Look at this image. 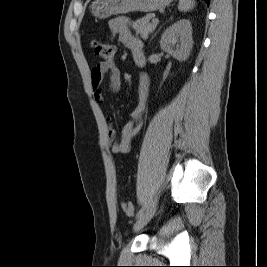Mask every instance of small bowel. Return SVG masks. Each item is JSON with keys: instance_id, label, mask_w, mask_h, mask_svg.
I'll list each match as a JSON object with an SVG mask.
<instances>
[{"instance_id": "small-bowel-1", "label": "small bowel", "mask_w": 267, "mask_h": 267, "mask_svg": "<svg viewBox=\"0 0 267 267\" xmlns=\"http://www.w3.org/2000/svg\"><path fill=\"white\" fill-rule=\"evenodd\" d=\"M110 29L119 34L121 42L131 51L134 62L142 67L145 64L143 45L141 40L132 35L129 31V21L126 17H117L110 22ZM109 76L112 91L118 92L121 86L120 70L114 63L101 62L91 71V81L93 85V95L96 103L103 107L104 98L100 89V84L105 76ZM149 91V80L146 75H142L139 86V104L132 114V120L127 122L121 131L118 141H114L115 130L112 126L108 128V140L111 143V151L115 154L127 153L131 149L133 137L140 129V114L147 101ZM110 121V117H107Z\"/></svg>"}]
</instances>
